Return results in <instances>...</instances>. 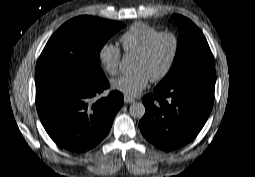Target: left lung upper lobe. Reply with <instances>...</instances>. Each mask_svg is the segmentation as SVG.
<instances>
[{"label":"left lung upper lobe","instance_id":"1","mask_svg":"<svg viewBox=\"0 0 255 177\" xmlns=\"http://www.w3.org/2000/svg\"><path fill=\"white\" fill-rule=\"evenodd\" d=\"M174 17L179 27L176 57L158 88L169 87L194 75L215 74L214 58L200 29L184 16Z\"/></svg>","mask_w":255,"mask_h":177}]
</instances>
